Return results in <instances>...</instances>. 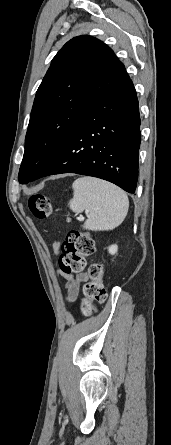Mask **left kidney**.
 <instances>
[{"mask_svg":"<svg viewBox=\"0 0 171 445\" xmlns=\"http://www.w3.org/2000/svg\"><path fill=\"white\" fill-rule=\"evenodd\" d=\"M108 251H109V253L111 254V255H114L115 253H117V251H118V246L117 245H111L109 248H108Z\"/></svg>","mask_w":171,"mask_h":445,"instance_id":"left-kidney-1","label":"left kidney"}]
</instances>
